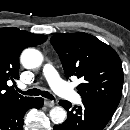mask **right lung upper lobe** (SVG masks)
Listing matches in <instances>:
<instances>
[{
  "label": "right lung upper lobe",
  "mask_w": 130,
  "mask_h": 130,
  "mask_svg": "<svg viewBox=\"0 0 130 130\" xmlns=\"http://www.w3.org/2000/svg\"><path fill=\"white\" fill-rule=\"evenodd\" d=\"M47 40L46 35L32 34L15 27L0 29V105L24 100L8 80L19 78V55L26 47L37 46Z\"/></svg>",
  "instance_id": "cb5924a9"
}]
</instances>
